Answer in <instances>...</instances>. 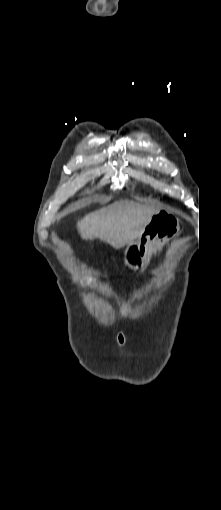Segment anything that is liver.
I'll return each mask as SVG.
<instances>
[{
  "label": "liver",
  "instance_id": "liver-1",
  "mask_svg": "<svg viewBox=\"0 0 221 510\" xmlns=\"http://www.w3.org/2000/svg\"><path fill=\"white\" fill-rule=\"evenodd\" d=\"M158 211L133 201H118L86 215L77 228L84 240L100 239L120 249L138 239Z\"/></svg>",
  "mask_w": 221,
  "mask_h": 510
}]
</instances>
